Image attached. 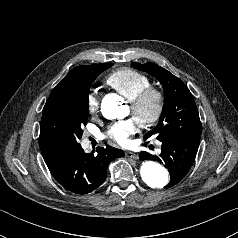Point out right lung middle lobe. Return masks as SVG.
I'll use <instances>...</instances> for the list:
<instances>
[{"label":"right lung middle lobe","mask_w":238,"mask_h":238,"mask_svg":"<svg viewBox=\"0 0 238 238\" xmlns=\"http://www.w3.org/2000/svg\"><path fill=\"white\" fill-rule=\"evenodd\" d=\"M113 63L88 66L60 93L48 98L40 124V137L65 151L80 146L82 127L87 124L88 93L96 77Z\"/></svg>","instance_id":"1"}]
</instances>
